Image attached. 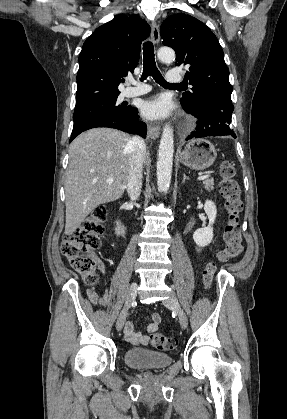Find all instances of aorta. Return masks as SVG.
I'll return each instance as SVG.
<instances>
[{
  "mask_svg": "<svg viewBox=\"0 0 287 419\" xmlns=\"http://www.w3.org/2000/svg\"><path fill=\"white\" fill-rule=\"evenodd\" d=\"M157 57L163 62H172L175 59V52L171 48L162 47L157 52ZM174 154L173 128L165 125L162 131L158 149L157 159V185L161 192H166L171 183V174Z\"/></svg>",
  "mask_w": 287,
  "mask_h": 419,
  "instance_id": "obj_1",
  "label": "aorta"
}]
</instances>
